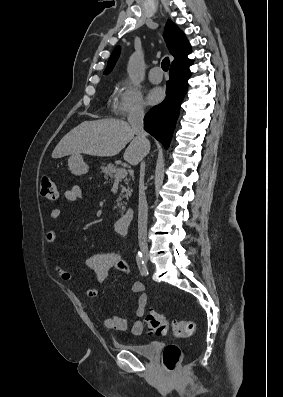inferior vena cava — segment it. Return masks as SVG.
Returning <instances> with one entry per match:
<instances>
[{"label": "inferior vena cava", "instance_id": "obj_1", "mask_svg": "<svg viewBox=\"0 0 283 397\" xmlns=\"http://www.w3.org/2000/svg\"><path fill=\"white\" fill-rule=\"evenodd\" d=\"M144 111L141 106H138L130 114L128 121L135 131L138 138H140L144 144L149 145V141L146 138L147 134L143 128ZM144 158V157H143ZM141 160L140 165V184H139V205H138V239L139 246L142 249L147 250V219H148V205L145 196L144 188V175H145V163Z\"/></svg>", "mask_w": 283, "mask_h": 397}]
</instances>
